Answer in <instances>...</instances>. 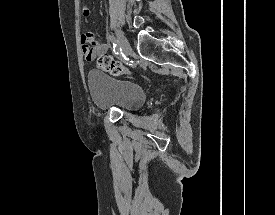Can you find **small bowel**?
<instances>
[{
  "label": "small bowel",
  "mask_w": 275,
  "mask_h": 215,
  "mask_svg": "<svg viewBox=\"0 0 275 215\" xmlns=\"http://www.w3.org/2000/svg\"><path fill=\"white\" fill-rule=\"evenodd\" d=\"M84 18H89L91 9L85 5L82 8ZM82 55L85 61H93L97 56L105 54L108 51V45L95 39L92 31H87L80 36Z\"/></svg>",
  "instance_id": "c3829d8e"
}]
</instances>
